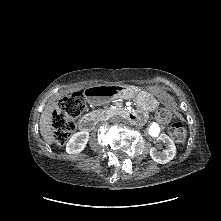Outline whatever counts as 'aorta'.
<instances>
[{
	"label": "aorta",
	"mask_w": 221,
	"mask_h": 221,
	"mask_svg": "<svg viewBox=\"0 0 221 221\" xmlns=\"http://www.w3.org/2000/svg\"><path fill=\"white\" fill-rule=\"evenodd\" d=\"M147 132L149 133V135L151 136H158L159 132H160V128L158 126V124L156 123H152L148 128H147Z\"/></svg>",
	"instance_id": "obj_1"
}]
</instances>
